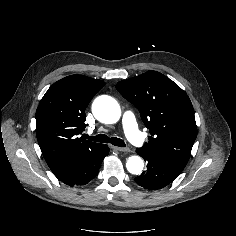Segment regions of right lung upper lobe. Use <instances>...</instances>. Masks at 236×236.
Here are the masks:
<instances>
[{
    "label": "right lung upper lobe",
    "mask_w": 236,
    "mask_h": 236,
    "mask_svg": "<svg viewBox=\"0 0 236 236\" xmlns=\"http://www.w3.org/2000/svg\"><path fill=\"white\" fill-rule=\"evenodd\" d=\"M104 84L83 75L67 76L55 82L40 101L36 111V136L53 173L60 172L73 154L100 145L79 135L86 127L85 109Z\"/></svg>",
    "instance_id": "cb5924a9"
}]
</instances>
